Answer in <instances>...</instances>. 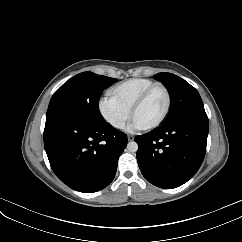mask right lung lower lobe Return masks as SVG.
<instances>
[{
	"label": "right lung lower lobe",
	"mask_w": 242,
	"mask_h": 242,
	"mask_svg": "<svg viewBox=\"0 0 242 242\" xmlns=\"http://www.w3.org/2000/svg\"><path fill=\"white\" fill-rule=\"evenodd\" d=\"M127 144L109 123L64 117L46 121L44 147L52 170L70 188L93 193L108 186Z\"/></svg>",
	"instance_id": "obj_1"
}]
</instances>
